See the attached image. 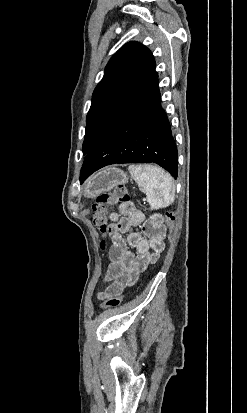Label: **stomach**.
<instances>
[{"instance_id":"stomach-1","label":"stomach","mask_w":247,"mask_h":413,"mask_svg":"<svg viewBox=\"0 0 247 413\" xmlns=\"http://www.w3.org/2000/svg\"><path fill=\"white\" fill-rule=\"evenodd\" d=\"M126 182H128V176L124 170L116 166H106L97 174H92L87 178L83 194L86 198H95L101 192H108L118 184H126Z\"/></svg>"}]
</instances>
